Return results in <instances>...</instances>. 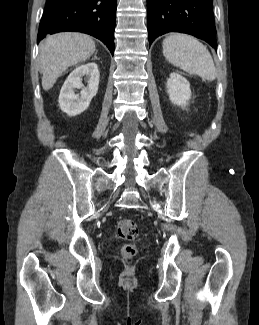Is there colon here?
Listing matches in <instances>:
<instances>
[{
	"label": "colon",
	"mask_w": 259,
	"mask_h": 325,
	"mask_svg": "<svg viewBox=\"0 0 259 325\" xmlns=\"http://www.w3.org/2000/svg\"><path fill=\"white\" fill-rule=\"evenodd\" d=\"M118 238L132 242L138 237V226L137 224L130 219H122L117 223L116 227ZM137 254V247L135 244L127 243L121 247V255L122 257L130 261Z\"/></svg>",
	"instance_id": "obj_1"
}]
</instances>
